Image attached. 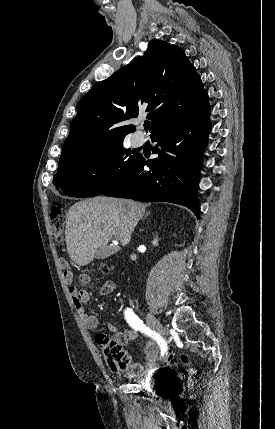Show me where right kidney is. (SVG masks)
Instances as JSON below:
<instances>
[{"label": "right kidney", "instance_id": "ca27d5eb", "mask_svg": "<svg viewBox=\"0 0 275 429\" xmlns=\"http://www.w3.org/2000/svg\"><path fill=\"white\" fill-rule=\"evenodd\" d=\"M152 243H153V245H154V246H157V245H158V240H157V239H155V240H153V242H152Z\"/></svg>", "mask_w": 275, "mask_h": 429}]
</instances>
